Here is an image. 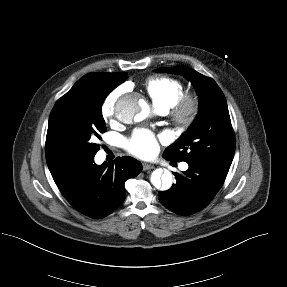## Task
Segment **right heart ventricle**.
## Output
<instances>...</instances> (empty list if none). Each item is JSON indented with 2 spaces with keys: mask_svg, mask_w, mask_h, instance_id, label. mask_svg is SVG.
Segmentation results:
<instances>
[{
  "mask_svg": "<svg viewBox=\"0 0 287 287\" xmlns=\"http://www.w3.org/2000/svg\"><path fill=\"white\" fill-rule=\"evenodd\" d=\"M145 89L158 110L168 111L183 95V83L173 77L152 76L145 81Z\"/></svg>",
  "mask_w": 287,
  "mask_h": 287,
  "instance_id": "1",
  "label": "right heart ventricle"
}]
</instances>
